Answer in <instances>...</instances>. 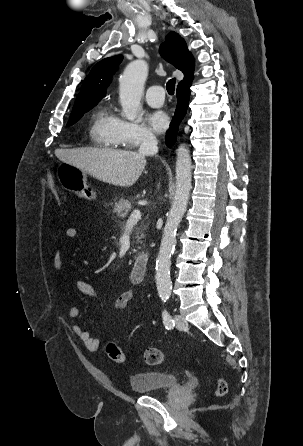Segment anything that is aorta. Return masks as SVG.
<instances>
[{"label":"aorta","mask_w":303,"mask_h":446,"mask_svg":"<svg viewBox=\"0 0 303 446\" xmlns=\"http://www.w3.org/2000/svg\"><path fill=\"white\" fill-rule=\"evenodd\" d=\"M148 74L147 63L143 60L131 62L120 78L119 98L122 116L134 121L141 109L144 83ZM176 158V191L172 207L167 215L159 253L156 260V286L159 297L167 300L171 294L170 279L171 256L176 245V231L187 209L191 191L192 161L189 149L181 144Z\"/></svg>","instance_id":"aorta-1"}]
</instances>
